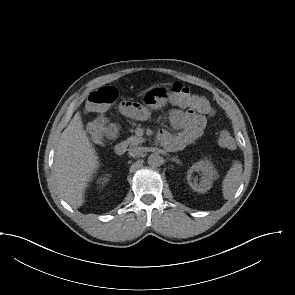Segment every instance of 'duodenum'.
Listing matches in <instances>:
<instances>
[{
	"mask_svg": "<svg viewBox=\"0 0 295 295\" xmlns=\"http://www.w3.org/2000/svg\"><path fill=\"white\" fill-rule=\"evenodd\" d=\"M126 144L123 142L117 143L114 147V152L117 156H122L126 152Z\"/></svg>",
	"mask_w": 295,
	"mask_h": 295,
	"instance_id": "duodenum-1",
	"label": "duodenum"
}]
</instances>
